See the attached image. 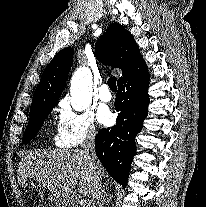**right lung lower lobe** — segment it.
<instances>
[{
	"label": "right lung lower lobe",
	"instance_id": "right-lung-lower-lobe-1",
	"mask_svg": "<svg viewBox=\"0 0 206 207\" xmlns=\"http://www.w3.org/2000/svg\"><path fill=\"white\" fill-rule=\"evenodd\" d=\"M149 73L144 60L118 81L116 125L102 129L95 137L96 155L114 180L127 185L130 164L135 155L134 138L148 114Z\"/></svg>",
	"mask_w": 206,
	"mask_h": 207
}]
</instances>
